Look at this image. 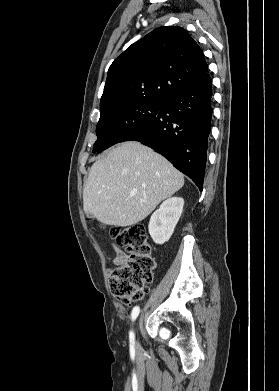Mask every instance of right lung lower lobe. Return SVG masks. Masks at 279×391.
<instances>
[{
    "mask_svg": "<svg viewBox=\"0 0 279 391\" xmlns=\"http://www.w3.org/2000/svg\"><path fill=\"white\" fill-rule=\"evenodd\" d=\"M211 85V78L206 73L166 100L153 120L135 128L122 139L136 140L156 150L190 177L200 190L203 188L213 112Z\"/></svg>",
    "mask_w": 279,
    "mask_h": 391,
    "instance_id": "obj_1",
    "label": "right lung lower lobe"
}]
</instances>
